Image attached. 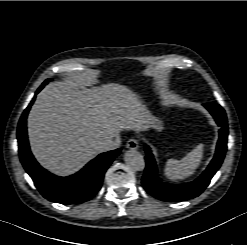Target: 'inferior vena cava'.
<instances>
[{"label":"inferior vena cava","mask_w":247,"mask_h":245,"mask_svg":"<svg viewBox=\"0 0 247 245\" xmlns=\"http://www.w3.org/2000/svg\"><path fill=\"white\" fill-rule=\"evenodd\" d=\"M114 143H115V142H113V141H111V140H107V141L105 142L104 146H106L107 149H112V148L115 147V144H114Z\"/></svg>","instance_id":"inferior-vena-cava-1"}]
</instances>
